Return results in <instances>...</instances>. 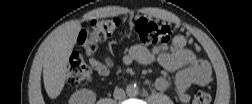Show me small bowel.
<instances>
[{
  "label": "small bowel",
  "instance_id": "c3829d8e",
  "mask_svg": "<svg viewBox=\"0 0 252 104\" xmlns=\"http://www.w3.org/2000/svg\"><path fill=\"white\" fill-rule=\"evenodd\" d=\"M155 60L166 70H178L174 82L175 91L183 103L189 101L188 89L191 85H205L211 79L209 64L198 59L187 48V40L182 35L176 36L170 44H160L151 50L143 45L132 46L123 59L127 65L133 63L148 65ZM89 64L101 76L109 73L110 68L96 58H89ZM155 86L159 91H166L170 83L166 77L161 76L156 79Z\"/></svg>",
  "mask_w": 252,
  "mask_h": 104
}]
</instances>
